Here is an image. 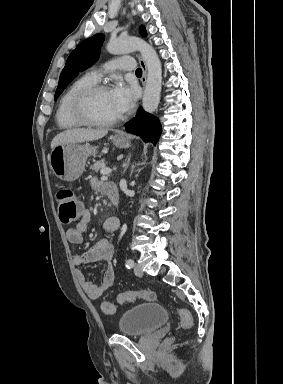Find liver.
Masks as SVG:
<instances>
[{
    "mask_svg": "<svg viewBox=\"0 0 283 384\" xmlns=\"http://www.w3.org/2000/svg\"><path fill=\"white\" fill-rule=\"evenodd\" d=\"M108 134L107 130H90V128H70L61 134H57L51 142V148L59 146V144H79V142H93L100 140Z\"/></svg>",
    "mask_w": 283,
    "mask_h": 384,
    "instance_id": "liver-1",
    "label": "liver"
}]
</instances>
